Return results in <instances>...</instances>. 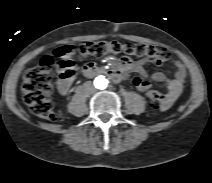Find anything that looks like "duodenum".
I'll return each mask as SVG.
<instances>
[{
    "label": "duodenum",
    "mask_w": 212,
    "mask_h": 183,
    "mask_svg": "<svg viewBox=\"0 0 212 183\" xmlns=\"http://www.w3.org/2000/svg\"><path fill=\"white\" fill-rule=\"evenodd\" d=\"M84 77H94L97 75H105L114 82H119L122 79V74L119 70L105 69L103 67L90 64L82 70Z\"/></svg>",
    "instance_id": "1"
}]
</instances>
